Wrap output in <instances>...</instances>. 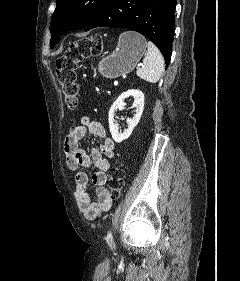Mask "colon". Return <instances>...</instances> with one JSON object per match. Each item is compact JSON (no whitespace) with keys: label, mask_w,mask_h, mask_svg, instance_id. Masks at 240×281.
Masks as SVG:
<instances>
[{"label":"colon","mask_w":240,"mask_h":281,"mask_svg":"<svg viewBox=\"0 0 240 281\" xmlns=\"http://www.w3.org/2000/svg\"><path fill=\"white\" fill-rule=\"evenodd\" d=\"M103 42L101 36L94 34L70 44L56 60L57 79L64 100L70 109L78 105L79 85L77 82L78 64L83 59L101 54ZM125 171L122 163L115 164L109 172L107 186L112 199H117L124 185Z\"/></svg>","instance_id":"1"}]
</instances>
